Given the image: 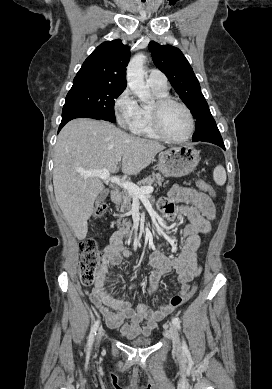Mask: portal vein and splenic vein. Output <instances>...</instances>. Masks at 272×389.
I'll list each match as a JSON object with an SVG mask.
<instances>
[{"instance_id":"portal-vein-and-splenic-vein-1","label":"portal vein and splenic vein","mask_w":272,"mask_h":389,"mask_svg":"<svg viewBox=\"0 0 272 389\" xmlns=\"http://www.w3.org/2000/svg\"><path fill=\"white\" fill-rule=\"evenodd\" d=\"M80 173L84 177H97L103 180H109L112 183L121 186L134 198H139L144 195L150 194L154 190L152 186H143L139 188L137 185H135L132 182H128V181L122 182L119 177L111 176V172L107 169L80 172Z\"/></svg>"}]
</instances>
